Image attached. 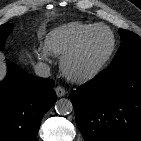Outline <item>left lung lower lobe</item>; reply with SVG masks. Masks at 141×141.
I'll return each instance as SVG.
<instances>
[{"label": "left lung lower lobe", "instance_id": "left-lung-lower-lobe-1", "mask_svg": "<svg viewBox=\"0 0 141 141\" xmlns=\"http://www.w3.org/2000/svg\"><path fill=\"white\" fill-rule=\"evenodd\" d=\"M70 100L86 141H141V59L103 70Z\"/></svg>", "mask_w": 141, "mask_h": 141}]
</instances>
